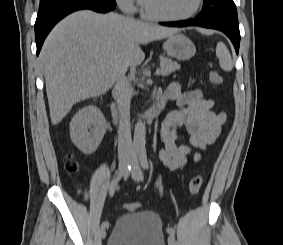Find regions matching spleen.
I'll use <instances>...</instances> for the list:
<instances>
[{"label":"spleen","mask_w":283,"mask_h":245,"mask_svg":"<svg viewBox=\"0 0 283 245\" xmlns=\"http://www.w3.org/2000/svg\"><path fill=\"white\" fill-rule=\"evenodd\" d=\"M216 56L219 59V64L220 67L224 70V71H231L233 68V62L231 59V55L227 49V47L225 46L224 43L219 42L217 44L216 47Z\"/></svg>","instance_id":"1"}]
</instances>
